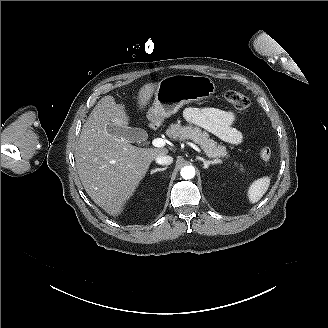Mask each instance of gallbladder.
Listing matches in <instances>:
<instances>
[{
    "label": "gallbladder",
    "instance_id": "gallbladder-1",
    "mask_svg": "<svg viewBox=\"0 0 328 328\" xmlns=\"http://www.w3.org/2000/svg\"><path fill=\"white\" fill-rule=\"evenodd\" d=\"M106 131L112 136L125 138L130 142H143L146 141L148 135L143 128L137 127H116L107 125Z\"/></svg>",
    "mask_w": 328,
    "mask_h": 328
}]
</instances>
